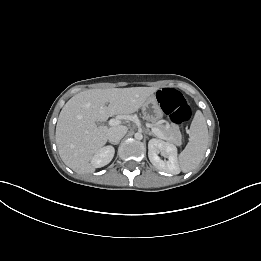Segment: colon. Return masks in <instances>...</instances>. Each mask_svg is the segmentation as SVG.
Instances as JSON below:
<instances>
[{
    "mask_svg": "<svg viewBox=\"0 0 261 261\" xmlns=\"http://www.w3.org/2000/svg\"><path fill=\"white\" fill-rule=\"evenodd\" d=\"M157 99L173 123L182 124L190 119L191 109L179 91L163 88L157 92Z\"/></svg>",
    "mask_w": 261,
    "mask_h": 261,
    "instance_id": "obj_1",
    "label": "colon"
}]
</instances>
